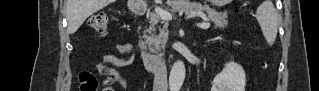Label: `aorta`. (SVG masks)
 <instances>
[{"instance_id":"aorta-1","label":"aorta","mask_w":319,"mask_h":91,"mask_svg":"<svg viewBox=\"0 0 319 91\" xmlns=\"http://www.w3.org/2000/svg\"><path fill=\"white\" fill-rule=\"evenodd\" d=\"M185 65L182 61H176L171 69L169 76V88L171 91H179L185 79Z\"/></svg>"}]
</instances>
